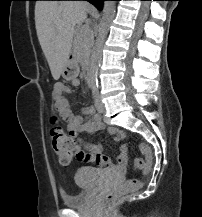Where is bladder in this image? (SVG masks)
Here are the masks:
<instances>
[{"label":"bladder","mask_w":202,"mask_h":217,"mask_svg":"<svg viewBox=\"0 0 202 217\" xmlns=\"http://www.w3.org/2000/svg\"><path fill=\"white\" fill-rule=\"evenodd\" d=\"M103 171L93 167H81L75 173V183L79 187V192L75 195L62 194V203L68 207H82L88 204L93 188L97 184Z\"/></svg>","instance_id":"obj_1"}]
</instances>
